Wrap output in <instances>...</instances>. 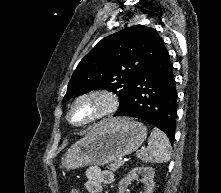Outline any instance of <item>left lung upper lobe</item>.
Wrapping results in <instances>:
<instances>
[{
    "mask_svg": "<svg viewBox=\"0 0 221 193\" xmlns=\"http://www.w3.org/2000/svg\"><path fill=\"white\" fill-rule=\"evenodd\" d=\"M166 50L155 29L135 25L109 35L80 61L63 103L96 89H107L123 103L136 77Z\"/></svg>",
    "mask_w": 221,
    "mask_h": 193,
    "instance_id": "5c2ea615",
    "label": "left lung upper lobe"
}]
</instances>
